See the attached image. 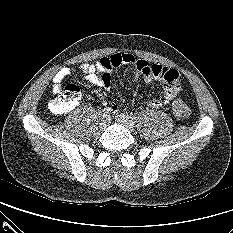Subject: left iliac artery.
<instances>
[{
    "instance_id": "left-iliac-artery-1",
    "label": "left iliac artery",
    "mask_w": 233,
    "mask_h": 233,
    "mask_svg": "<svg viewBox=\"0 0 233 233\" xmlns=\"http://www.w3.org/2000/svg\"><path fill=\"white\" fill-rule=\"evenodd\" d=\"M132 120H133L134 122H137L138 117H137V116H133V117H132Z\"/></svg>"
}]
</instances>
